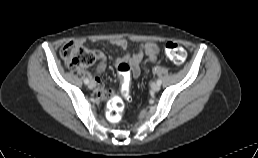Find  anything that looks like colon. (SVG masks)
Returning a JSON list of instances; mask_svg holds the SVG:
<instances>
[{
	"mask_svg": "<svg viewBox=\"0 0 258 158\" xmlns=\"http://www.w3.org/2000/svg\"><path fill=\"white\" fill-rule=\"evenodd\" d=\"M164 51L167 58L176 65H180L185 61L186 51L184 47L175 41H168L164 45ZM61 57L64 59L66 65L75 69L80 66H89L96 61V56L93 52L87 50L78 41H69L65 43L60 51ZM118 77L122 83V95L126 96L129 90L131 67L125 62L121 61L117 66ZM123 110V101L119 97H113L108 102V118L111 122H118L121 118Z\"/></svg>",
	"mask_w": 258,
	"mask_h": 158,
	"instance_id": "colon-1",
	"label": "colon"
}]
</instances>
